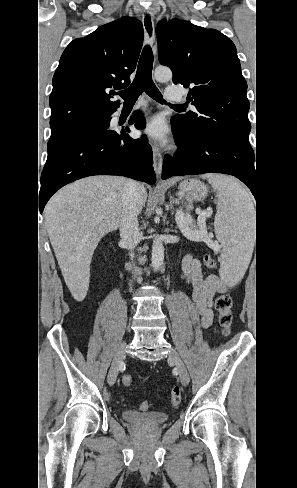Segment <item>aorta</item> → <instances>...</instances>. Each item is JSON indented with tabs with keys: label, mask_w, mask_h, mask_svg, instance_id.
I'll use <instances>...</instances> for the list:
<instances>
[{
	"label": "aorta",
	"mask_w": 297,
	"mask_h": 488,
	"mask_svg": "<svg viewBox=\"0 0 297 488\" xmlns=\"http://www.w3.org/2000/svg\"><path fill=\"white\" fill-rule=\"evenodd\" d=\"M154 77L159 82L169 81L172 79V71L167 67H157L154 71ZM164 261V246L162 241L155 237L152 244V266L159 269Z\"/></svg>",
	"instance_id": "obj_1"
}]
</instances>
